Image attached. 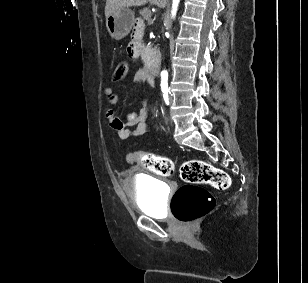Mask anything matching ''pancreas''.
Returning <instances> with one entry per match:
<instances>
[{"mask_svg":"<svg viewBox=\"0 0 308 283\" xmlns=\"http://www.w3.org/2000/svg\"><path fill=\"white\" fill-rule=\"evenodd\" d=\"M140 15L143 17V19L148 20L149 23L151 22V11L148 8L140 10Z\"/></svg>","mask_w":308,"mask_h":283,"instance_id":"cf45deb5","label":"pancreas"}]
</instances>
